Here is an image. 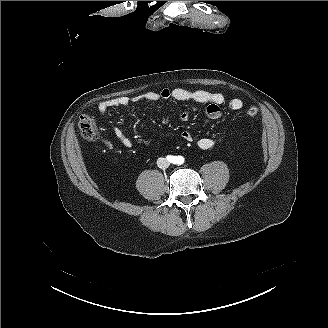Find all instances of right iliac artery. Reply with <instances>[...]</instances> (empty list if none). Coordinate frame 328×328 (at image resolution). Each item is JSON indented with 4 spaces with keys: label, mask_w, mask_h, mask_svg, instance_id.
Returning a JSON list of instances; mask_svg holds the SVG:
<instances>
[{
    "label": "right iliac artery",
    "mask_w": 328,
    "mask_h": 328,
    "mask_svg": "<svg viewBox=\"0 0 328 328\" xmlns=\"http://www.w3.org/2000/svg\"><path fill=\"white\" fill-rule=\"evenodd\" d=\"M167 159H168V161H170V162H174V161H175V156H171V155H169V156H167Z\"/></svg>",
    "instance_id": "1"
}]
</instances>
